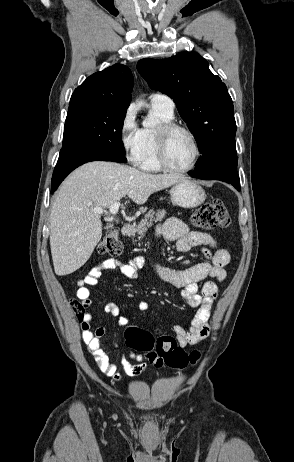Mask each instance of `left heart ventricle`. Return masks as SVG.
I'll use <instances>...</instances> for the list:
<instances>
[{
    "mask_svg": "<svg viewBox=\"0 0 294 462\" xmlns=\"http://www.w3.org/2000/svg\"><path fill=\"white\" fill-rule=\"evenodd\" d=\"M194 145L191 138L183 131L174 132L168 141L167 157L176 168L188 166L194 157Z\"/></svg>",
    "mask_w": 294,
    "mask_h": 462,
    "instance_id": "1",
    "label": "left heart ventricle"
}]
</instances>
